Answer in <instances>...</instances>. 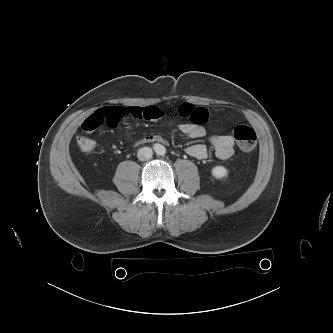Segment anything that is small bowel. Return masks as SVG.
Masks as SVG:
<instances>
[{"mask_svg":"<svg viewBox=\"0 0 333 333\" xmlns=\"http://www.w3.org/2000/svg\"><path fill=\"white\" fill-rule=\"evenodd\" d=\"M178 114L186 121L178 126L179 130L192 139H200L206 135L204 123L207 121L209 113L204 107L195 106L185 102L178 107ZM163 112L157 107H104L89 115L81 124L82 129L91 133L102 124L116 127L126 116L144 118L147 120H160ZM159 142L166 144L167 141L160 134H149L139 139L138 144ZM210 143L216 156L221 160L229 159L234 154L235 139L232 135H213ZM186 153L196 159H205L209 150L205 144L196 143L186 148Z\"/></svg>","mask_w":333,"mask_h":333,"instance_id":"1","label":"small bowel"}]
</instances>
